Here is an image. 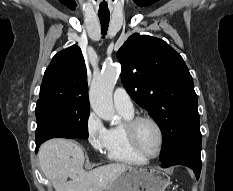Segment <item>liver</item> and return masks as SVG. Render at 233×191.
<instances>
[{"label":"liver","instance_id":"obj_1","mask_svg":"<svg viewBox=\"0 0 233 191\" xmlns=\"http://www.w3.org/2000/svg\"><path fill=\"white\" fill-rule=\"evenodd\" d=\"M39 163L55 191H101L130 166L112 163L90 171L83 169V148L76 142L54 138L39 149ZM70 178V181L67 179Z\"/></svg>","mask_w":233,"mask_h":191}]
</instances>
